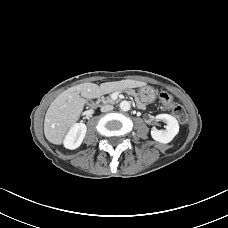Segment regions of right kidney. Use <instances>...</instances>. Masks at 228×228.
Segmentation results:
<instances>
[{
    "mask_svg": "<svg viewBox=\"0 0 228 228\" xmlns=\"http://www.w3.org/2000/svg\"><path fill=\"white\" fill-rule=\"evenodd\" d=\"M87 127L84 123L74 124L64 139V146L67 149L78 148L86 135Z\"/></svg>",
    "mask_w": 228,
    "mask_h": 228,
    "instance_id": "ca27d5eb",
    "label": "right kidney"
}]
</instances>
